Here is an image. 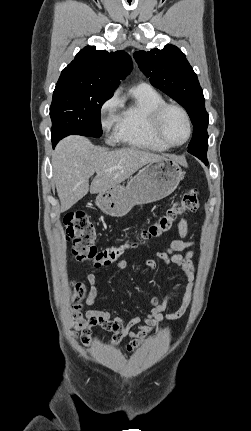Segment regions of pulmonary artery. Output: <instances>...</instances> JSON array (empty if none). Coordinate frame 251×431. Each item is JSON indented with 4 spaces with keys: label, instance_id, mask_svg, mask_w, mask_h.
I'll use <instances>...</instances> for the list:
<instances>
[{
    "label": "pulmonary artery",
    "instance_id": "1",
    "mask_svg": "<svg viewBox=\"0 0 251 431\" xmlns=\"http://www.w3.org/2000/svg\"><path fill=\"white\" fill-rule=\"evenodd\" d=\"M138 87H148L149 85L147 84V83H139L138 85H137Z\"/></svg>",
    "mask_w": 251,
    "mask_h": 431
}]
</instances>
